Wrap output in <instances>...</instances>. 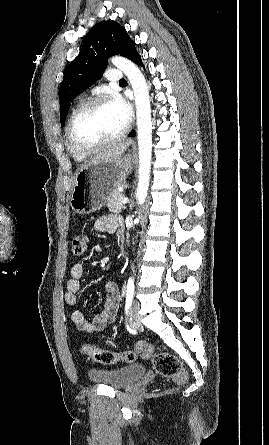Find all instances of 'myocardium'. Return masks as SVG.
<instances>
[{"instance_id": "obj_1", "label": "myocardium", "mask_w": 269, "mask_h": 445, "mask_svg": "<svg viewBox=\"0 0 269 445\" xmlns=\"http://www.w3.org/2000/svg\"><path fill=\"white\" fill-rule=\"evenodd\" d=\"M110 102V100L105 97V96H99V97H95L92 98L90 100H88L87 102L83 103L81 106H79L74 113L71 115L67 126H66V132H65V139H66V143L68 145V147L75 153L80 154V155H90V154H94L96 152H98L99 150L112 145L118 141H120L121 139H123L128 131H129V126L126 125L125 128L116 136L109 138L107 140H104L98 144H95L93 146H83L78 144L74 138H73V128L75 123L77 122V120L84 115L85 113H87L88 111H90L91 109L108 103Z\"/></svg>"}]
</instances>
